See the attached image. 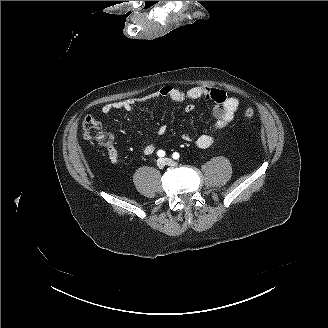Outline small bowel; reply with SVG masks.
Here are the masks:
<instances>
[{"instance_id":"obj_1","label":"small bowel","mask_w":328,"mask_h":328,"mask_svg":"<svg viewBox=\"0 0 328 328\" xmlns=\"http://www.w3.org/2000/svg\"><path fill=\"white\" fill-rule=\"evenodd\" d=\"M160 98H168L175 102H184L187 100L206 99L214 103L212 115L215 119L214 127L216 129H223L230 124L236 112L239 109L240 102L236 97L227 96V94L219 89L196 86L187 90H182L171 85H164L157 91H154L142 98H127L102 106L103 113H109L113 110L131 111L138 103L157 100ZM194 107L190 104L186 105V113L193 112ZM167 133L166 126H160L157 129V134L164 136ZM182 139L185 142H191L194 137L189 133H183ZM196 145L201 149L209 148L213 143V138L210 134L203 133L195 138ZM158 148V142H151L145 145L142 149L143 154L151 155ZM107 155L111 163L116 164L119 161V152L112 144H107Z\"/></svg>"}]
</instances>
